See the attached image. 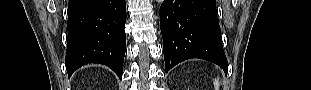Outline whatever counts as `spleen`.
<instances>
[{"label": "spleen", "mask_w": 311, "mask_h": 90, "mask_svg": "<svg viewBox=\"0 0 311 90\" xmlns=\"http://www.w3.org/2000/svg\"><path fill=\"white\" fill-rule=\"evenodd\" d=\"M219 81H218V79H215L214 80V87H215V90H219Z\"/></svg>", "instance_id": "obj_1"}]
</instances>
